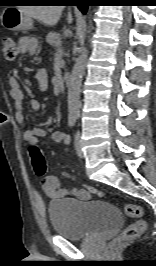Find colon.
<instances>
[{
  "mask_svg": "<svg viewBox=\"0 0 156 266\" xmlns=\"http://www.w3.org/2000/svg\"><path fill=\"white\" fill-rule=\"evenodd\" d=\"M3 54L6 60L13 61L19 52L17 43L10 37L3 40ZM32 165L35 173L38 176H43L48 171V166L42 151L37 146H31L29 148ZM65 177L74 179V176L68 172L63 173ZM85 190L92 194L103 196V192L97 188L89 185H85ZM124 211L126 215L137 220L128 225L122 232L121 236L117 239L118 242L130 241L139 237L146 229V222L141 219L143 210L140 206L127 203L124 205Z\"/></svg>",
  "mask_w": 156,
  "mask_h": 266,
  "instance_id": "5ec220e1",
  "label": "colon"
}]
</instances>
